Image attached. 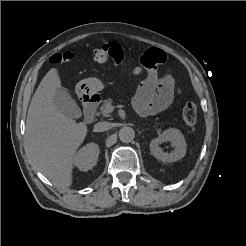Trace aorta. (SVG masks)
<instances>
[{
	"label": "aorta",
	"mask_w": 246,
	"mask_h": 246,
	"mask_svg": "<svg viewBox=\"0 0 246 246\" xmlns=\"http://www.w3.org/2000/svg\"><path fill=\"white\" fill-rule=\"evenodd\" d=\"M135 137V131L128 126H124L119 130V139L124 143L131 142Z\"/></svg>",
	"instance_id": "obj_1"
}]
</instances>
